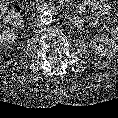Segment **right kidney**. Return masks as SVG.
Segmentation results:
<instances>
[{
    "label": "right kidney",
    "instance_id": "ca27d5eb",
    "mask_svg": "<svg viewBox=\"0 0 118 118\" xmlns=\"http://www.w3.org/2000/svg\"><path fill=\"white\" fill-rule=\"evenodd\" d=\"M17 39V34L13 30H7L0 33V43L7 45Z\"/></svg>",
    "mask_w": 118,
    "mask_h": 118
}]
</instances>
